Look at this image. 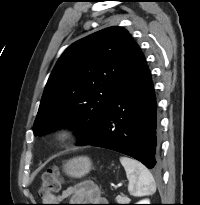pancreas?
Instances as JSON below:
<instances>
[{
  "instance_id": "cf45deb5",
  "label": "pancreas",
  "mask_w": 200,
  "mask_h": 205,
  "mask_svg": "<svg viewBox=\"0 0 200 205\" xmlns=\"http://www.w3.org/2000/svg\"><path fill=\"white\" fill-rule=\"evenodd\" d=\"M116 201L118 203L122 204V203L128 202L129 198L127 196H124V195H122V196L119 195V196L116 197Z\"/></svg>"
}]
</instances>
